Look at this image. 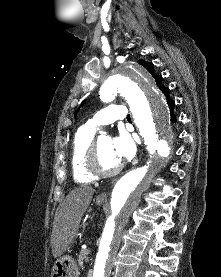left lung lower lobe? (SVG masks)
Here are the masks:
<instances>
[{
	"mask_svg": "<svg viewBox=\"0 0 221 277\" xmlns=\"http://www.w3.org/2000/svg\"><path fill=\"white\" fill-rule=\"evenodd\" d=\"M162 92L164 93V95L166 96V99H167V102H168V105H169V108L171 110V114H172V121L173 122H176V118L173 116V108L175 106V102L169 97V88H164L162 90Z\"/></svg>",
	"mask_w": 221,
	"mask_h": 277,
	"instance_id": "1",
	"label": "left lung lower lobe"
}]
</instances>
